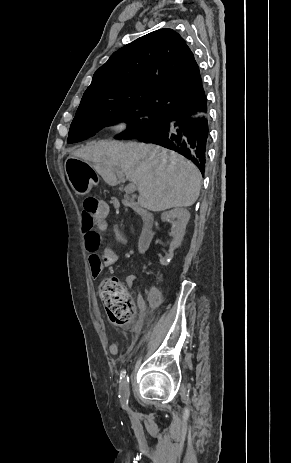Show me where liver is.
Returning a JSON list of instances; mask_svg holds the SVG:
<instances>
[{"mask_svg":"<svg viewBox=\"0 0 291 463\" xmlns=\"http://www.w3.org/2000/svg\"><path fill=\"white\" fill-rule=\"evenodd\" d=\"M92 164L104 181L115 186L121 170L139 192L138 204L159 212L192 206L199 197L201 173L181 155L152 144L98 141L71 156Z\"/></svg>","mask_w":291,"mask_h":463,"instance_id":"6515ba94","label":"liver"}]
</instances>
